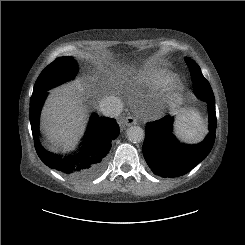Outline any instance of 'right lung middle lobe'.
Instances as JSON below:
<instances>
[{
  "label": "right lung middle lobe",
  "mask_w": 245,
  "mask_h": 245,
  "mask_svg": "<svg viewBox=\"0 0 245 245\" xmlns=\"http://www.w3.org/2000/svg\"><path fill=\"white\" fill-rule=\"evenodd\" d=\"M78 72L77 61L71 56L57 58L37 79L31 98L73 79Z\"/></svg>",
  "instance_id": "obj_1"
}]
</instances>
